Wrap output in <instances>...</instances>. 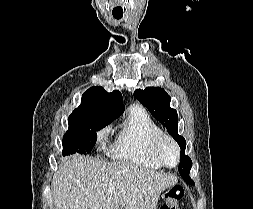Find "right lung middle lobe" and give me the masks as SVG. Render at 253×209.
Listing matches in <instances>:
<instances>
[{"label":"right lung middle lobe","mask_w":253,"mask_h":209,"mask_svg":"<svg viewBox=\"0 0 253 209\" xmlns=\"http://www.w3.org/2000/svg\"><path fill=\"white\" fill-rule=\"evenodd\" d=\"M115 119H107L97 115H89L68 121L69 128L64 134L62 141V154L65 156L74 153H90L96 143V132L113 122Z\"/></svg>","instance_id":"1"}]
</instances>
